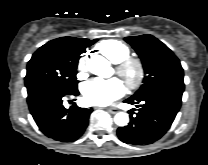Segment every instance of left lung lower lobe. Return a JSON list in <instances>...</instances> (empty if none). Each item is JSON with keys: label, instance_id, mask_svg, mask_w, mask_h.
<instances>
[{"label": "left lung lower lobe", "instance_id": "left-lung-lower-lobe-1", "mask_svg": "<svg viewBox=\"0 0 208 165\" xmlns=\"http://www.w3.org/2000/svg\"><path fill=\"white\" fill-rule=\"evenodd\" d=\"M184 84L170 83L153 88L144 95L124 102L138 104L137 113L129 111L130 123L119 127L117 135L127 144L146 145L160 139L170 128L182 103Z\"/></svg>", "mask_w": 208, "mask_h": 165}]
</instances>
